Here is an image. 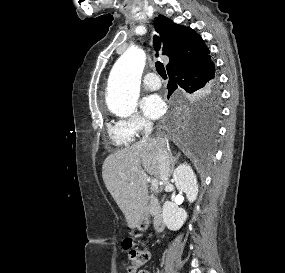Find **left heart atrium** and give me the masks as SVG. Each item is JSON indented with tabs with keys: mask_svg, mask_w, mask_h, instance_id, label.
<instances>
[{
	"mask_svg": "<svg viewBox=\"0 0 285 273\" xmlns=\"http://www.w3.org/2000/svg\"><path fill=\"white\" fill-rule=\"evenodd\" d=\"M141 108L144 114L151 119H157L165 112V104L156 94L145 97L141 102Z\"/></svg>",
	"mask_w": 285,
	"mask_h": 273,
	"instance_id": "39dd6f15",
	"label": "left heart atrium"
}]
</instances>
